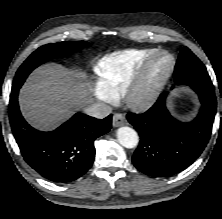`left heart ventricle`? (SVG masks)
Here are the masks:
<instances>
[{
    "label": "left heart ventricle",
    "instance_id": "b2bd125f",
    "mask_svg": "<svg viewBox=\"0 0 222 219\" xmlns=\"http://www.w3.org/2000/svg\"><path fill=\"white\" fill-rule=\"evenodd\" d=\"M167 63H168V59L166 57L161 58L157 61L150 75V79L152 82H155L161 76V74L163 73V71L165 70L167 66Z\"/></svg>",
    "mask_w": 222,
    "mask_h": 219
}]
</instances>
